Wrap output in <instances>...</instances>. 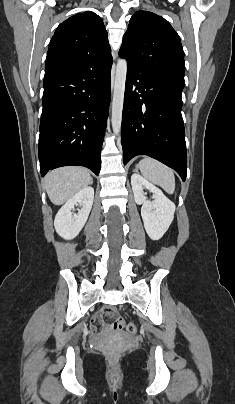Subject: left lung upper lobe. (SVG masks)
<instances>
[{"label":"left lung upper lobe","mask_w":235,"mask_h":404,"mask_svg":"<svg viewBox=\"0 0 235 404\" xmlns=\"http://www.w3.org/2000/svg\"><path fill=\"white\" fill-rule=\"evenodd\" d=\"M128 65L184 88V51L181 40L161 16L138 11L130 19L119 51Z\"/></svg>","instance_id":"left-lung-upper-lobe-1"}]
</instances>
